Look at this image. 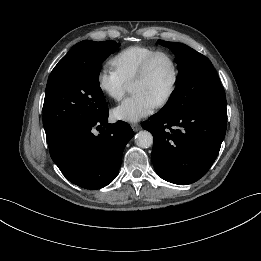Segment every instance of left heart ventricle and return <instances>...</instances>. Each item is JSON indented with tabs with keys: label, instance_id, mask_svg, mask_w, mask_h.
I'll list each match as a JSON object with an SVG mask.
<instances>
[{
	"label": "left heart ventricle",
	"instance_id": "1",
	"mask_svg": "<svg viewBox=\"0 0 261 261\" xmlns=\"http://www.w3.org/2000/svg\"><path fill=\"white\" fill-rule=\"evenodd\" d=\"M172 81V67L166 57L157 58L148 74L131 84L132 93H144L158 103L168 92Z\"/></svg>",
	"mask_w": 261,
	"mask_h": 261
}]
</instances>
